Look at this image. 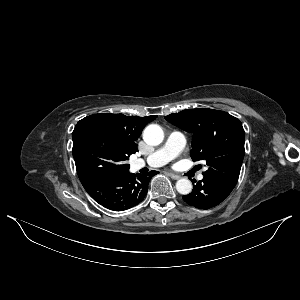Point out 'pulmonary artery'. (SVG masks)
I'll return each instance as SVG.
<instances>
[{
  "label": "pulmonary artery",
  "instance_id": "pulmonary-artery-1",
  "mask_svg": "<svg viewBox=\"0 0 300 300\" xmlns=\"http://www.w3.org/2000/svg\"><path fill=\"white\" fill-rule=\"evenodd\" d=\"M186 146V138L181 132H171L162 147L157 149L151 155L145 159H136L132 162L131 166L134 171L141 169L144 166L148 167H161L172 159L177 157ZM200 180L203 179V175L198 176Z\"/></svg>",
  "mask_w": 300,
  "mask_h": 300
}]
</instances>
